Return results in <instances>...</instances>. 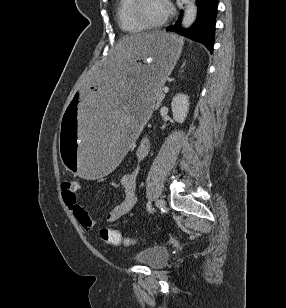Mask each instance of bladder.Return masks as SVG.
I'll list each match as a JSON object with an SVG mask.
<instances>
[{
  "instance_id": "bladder-1",
  "label": "bladder",
  "mask_w": 286,
  "mask_h": 308,
  "mask_svg": "<svg viewBox=\"0 0 286 308\" xmlns=\"http://www.w3.org/2000/svg\"><path fill=\"white\" fill-rule=\"evenodd\" d=\"M170 251L164 246H152L139 251L134 260L150 268H161L169 259Z\"/></svg>"
}]
</instances>
